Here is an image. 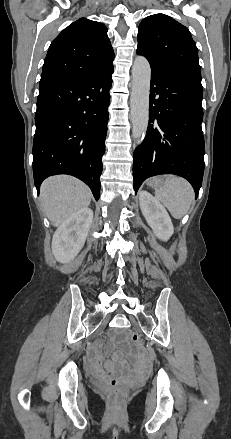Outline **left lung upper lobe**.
<instances>
[{
  "instance_id": "left-lung-upper-lobe-1",
  "label": "left lung upper lobe",
  "mask_w": 231,
  "mask_h": 439,
  "mask_svg": "<svg viewBox=\"0 0 231 439\" xmlns=\"http://www.w3.org/2000/svg\"><path fill=\"white\" fill-rule=\"evenodd\" d=\"M137 41V54L148 59L152 70L201 77L198 49L189 30L168 15L143 19Z\"/></svg>"
}]
</instances>
